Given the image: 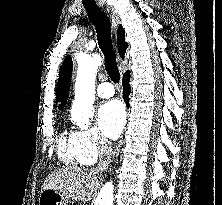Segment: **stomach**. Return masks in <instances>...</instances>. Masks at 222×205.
<instances>
[{
  "instance_id": "1",
  "label": "stomach",
  "mask_w": 222,
  "mask_h": 205,
  "mask_svg": "<svg viewBox=\"0 0 222 205\" xmlns=\"http://www.w3.org/2000/svg\"><path fill=\"white\" fill-rule=\"evenodd\" d=\"M39 205H68V199L55 190L46 189L39 196Z\"/></svg>"
}]
</instances>
